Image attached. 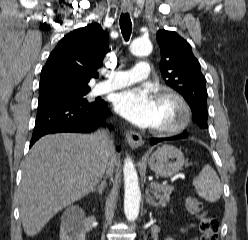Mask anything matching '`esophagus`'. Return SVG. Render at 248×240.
I'll list each match as a JSON object with an SVG mask.
<instances>
[{
    "label": "esophagus",
    "mask_w": 248,
    "mask_h": 240,
    "mask_svg": "<svg viewBox=\"0 0 248 240\" xmlns=\"http://www.w3.org/2000/svg\"><path fill=\"white\" fill-rule=\"evenodd\" d=\"M122 10L124 12H131L132 11L131 4H124L122 6ZM125 137H126L128 144L132 148H138L143 143L141 135L135 131H131V130L125 131Z\"/></svg>",
    "instance_id": "esophagus-1"
}]
</instances>
